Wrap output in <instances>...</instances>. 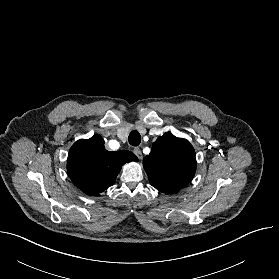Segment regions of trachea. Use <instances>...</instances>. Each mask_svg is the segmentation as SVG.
Returning <instances> with one entry per match:
<instances>
[{"label": "trachea", "mask_w": 279, "mask_h": 279, "mask_svg": "<svg viewBox=\"0 0 279 279\" xmlns=\"http://www.w3.org/2000/svg\"><path fill=\"white\" fill-rule=\"evenodd\" d=\"M128 141L132 146H138L141 142V136L138 131H132L129 134Z\"/></svg>", "instance_id": "3493384b"}]
</instances>
